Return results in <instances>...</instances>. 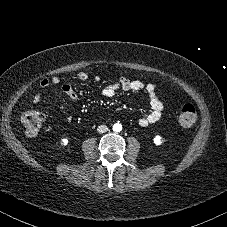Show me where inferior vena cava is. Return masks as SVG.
<instances>
[{"instance_id": "inferior-vena-cava-1", "label": "inferior vena cava", "mask_w": 227, "mask_h": 227, "mask_svg": "<svg viewBox=\"0 0 227 227\" xmlns=\"http://www.w3.org/2000/svg\"><path fill=\"white\" fill-rule=\"evenodd\" d=\"M97 131L99 133H105L108 131V127L106 125H100V126H98Z\"/></svg>"}]
</instances>
